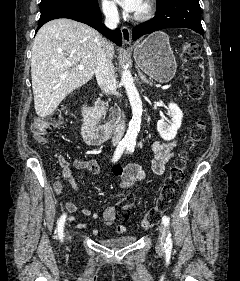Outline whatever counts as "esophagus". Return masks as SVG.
Listing matches in <instances>:
<instances>
[{
  "label": "esophagus",
  "mask_w": 240,
  "mask_h": 281,
  "mask_svg": "<svg viewBox=\"0 0 240 281\" xmlns=\"http://www.w3.org/2000/svg\"><path fill=\"white\" fill-rule=\"evenodd\" d=\"M121 33H122V39L125 44H131L132 38H131V30L128 26H122L121 27Z\"/></svg>",
  "instance_id": "esophagus-1"
}]
</instances>
